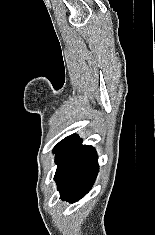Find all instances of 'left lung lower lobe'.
Wrapping results in <instances>:
<instances>
[{
  "mask_svg": "<svg viewBox=\"0 0 155 235\" xmlns=\"http://www.w3.org/2000/svg\"><path fill=\"white\" fill-rule=\"evenodd\" d=\"M58 165L54 179L60 198L71 203L91 189L97 173V154L93 147L82 145L77 135L66 138L54 151Z\"/></svg>",
  "mask_w": 155,
  "mask_h": 235,
  "instance_id": "0a47b994",
  "label": "left lung lower lobe"
}]
</instances>
